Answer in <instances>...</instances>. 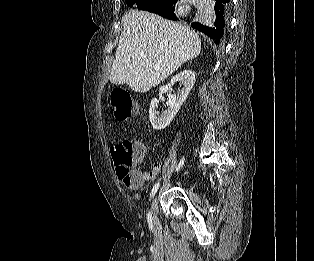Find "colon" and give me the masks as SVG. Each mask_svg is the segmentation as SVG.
Listing matches in <instances>:
<instances>
[{
  "instance_id": "5ec220e1",
  "label": "colon",
  "mask_w": 314,
  "mask_h": 261,
  "mask_svg": "<svg viewBox=\"0 0 314 261\" xmlns=\"http://www.w3.org/2000/svg\"><path fill=\"white\" fill-rule=\"evenodd\" d=\"M112 117L118 122H124L137 112V103L130 93L123 88H115L109 94ZM144 151V143L135 138H127L112 149L114 164L119 179L125 186H139L144 176L135 169V162Z\"/></svg>"
}]
</instances>
